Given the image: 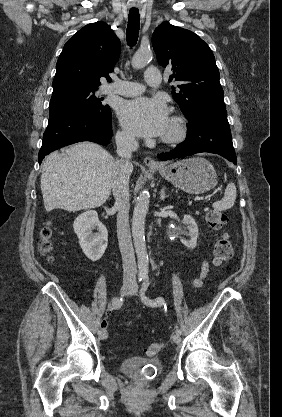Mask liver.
<instances>
[{"instance_id":"6515ba94","label":"liver","mask_w":282,"mask_h":417,"mask_svg":"<svg viewBox=\"0 0 282 417\" xmlns=\"http://www.w3.org/2000/svg\"><path fill=\"white\" fill-rule=\"evenodd\" d=\"M114 162L112 154L94 142L73 144L65 154L51 152L41 174L46 211H82L104 204L111 192Z\"/></svg>"}]
</instances>
